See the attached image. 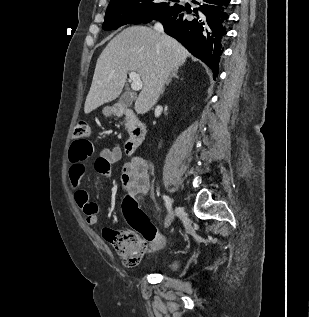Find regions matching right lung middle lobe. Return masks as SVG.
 I'll return each instance as SVG.
<instances>
[{
	"mask_svg": "<svg viewBox=\"0 0 309 317\" xmlns=\"http://www.w3.org/2000/svg\"><path fill=\"white\" fill-rule=\"evenodd\" d=\"M173 1V0H171ZM159 0H111L106 11L104 30L117 29L125 24H139L176 7Z\"/></svg>",
	"mask_w": 309,
	"mask_h": 317,
	"instance_id": "dd1d6c3e",
	"label": "right lung middle lobe"
}]
</instances>
